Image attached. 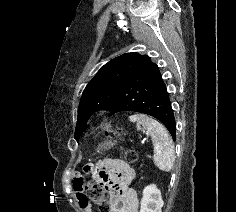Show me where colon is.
I'll return each mask as SVG.
<instances>
[{
  "mask_svg": "<svg viewBox=\"0 0 236 212\" xmlns=\"http://www.w3.org/2000/svg\"><path fill=\"white\" fill-rule=\"evenodd\" d=\"M104 132L107 135L113 134L108 124L104 125ZM125 158L132 163L136 160V154L134 151H128ZM108 188L110 187L101 178L100 171H94L91 178L83 182V191L88 202L98 205L101 212H110V203L107 201Z\"/></svg>",
  "mask_w": 236,
  "mask_h": 212,
  "instance_id": "5ec220e1",
  "label": "colon"
}]
</instances>
